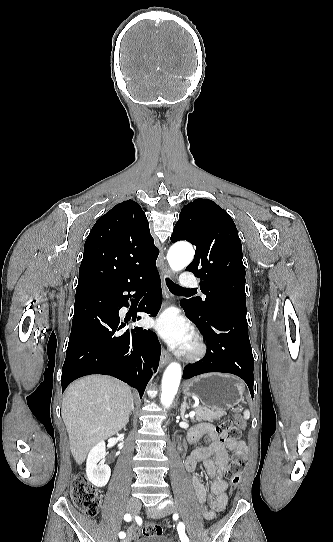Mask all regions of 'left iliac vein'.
<instances>
[{
  "label": "left iliac vein",
  "mask_w": 333,
  "mask_h": 542,
  "mask_svg": "<svg viewBox=\"0 0 333 542\" xmlns=\"http://www.w3.org/2000/svg\"><path fill=\"white\" fill-rule=\"evenodd\" d=\"M173 509H175V507L172 504H167L165 508L159 512L150 511L147 513L149 516L163 517V516H166Z\"/></svg>",
  "instance_id": "left-iliac-vein-1"
}]
</instances>
